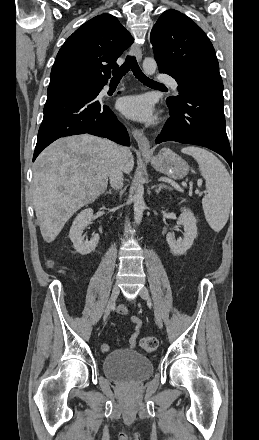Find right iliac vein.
I'll list each match as a JSON object with an SVG mask.
<instances>
[{"instance_id":"obj_1","label":"right iliac vein","mask_w":259,"mask_h":440,"mask_svg":"<svg viewBox=\"0 0 259 440\" xmlns=\"http://www.w3.org/2000/svg\"><path fill=\"white\" fill-rule=\"evenodd\" d=\"M119 287H118V285L116 284L114 287H113V289H112V293H111V296H110V299H109V302H108V304H107V306H106V309H105V312H104V320H106L107 318H108V316H109V314H110V312H111V310L114 308V306H115V303H116V300H117V298H118V295H119Z\"/></svg>"}]
</instances>
